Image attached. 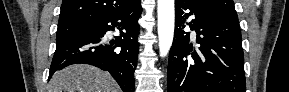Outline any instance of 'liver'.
Listing matches in <instances>:
<instances>
[{"mask_svg": "<svg viewBox=\"0 0 289 92\" xmlns=\"http://www.w3.org/2000/svg\"><path fill=\"white\" fill-rule=\"evenodd\" d=\"M49 92H120L108 72L84 64L57 71L49 82Z\"/></svg>", "mask_w": 289, "mask_h": 92, "instance_id": "obj_1", "label": "liver"}]
</instances>
